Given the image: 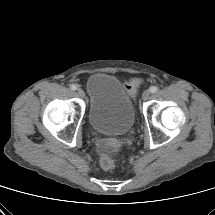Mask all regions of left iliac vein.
Wrapping results in <instances>:
<instances>
[{
	"instance_id": "1",
	"label": "left iliac vein",
	"mask_w": 215,
	"mask_h": 215,
	"mask_svg": "<svg viewBox=\"0 0 215 215\" xmlns=\"http://www.w3.org/2000/svg\"><path fill=\"white\" fill-rule=\"evenodd\" d=\"M150 94H151L150 90H145L142 94V99L144 101L148 100L150 98Z\"/></svg>"
}]
</instances>
